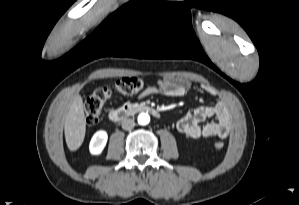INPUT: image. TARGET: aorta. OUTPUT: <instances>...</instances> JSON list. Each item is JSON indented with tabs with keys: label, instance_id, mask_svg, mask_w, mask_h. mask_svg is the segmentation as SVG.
I'll return each instance as SVG.
<instances>
[{
	"label": "aorta",
	"instance_id": "obj_1",
	"mask_svg": "<svg viewBox=\"0 0 299 205\" xmlns=\"http://www.w3.org/2000/svg\"><path fill=\"white\" fill-rule=\"evenodd\" d=\"M150 122V116L147 113H140L138 115V123L140 125H147Z\"/></svg>",
	"mask_w": 299,
	"mask_h": 205
}]
</instances>
